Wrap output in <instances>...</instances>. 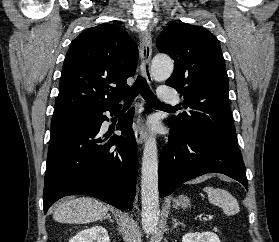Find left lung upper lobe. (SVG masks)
<instances>
[{"mask_svg":"<svg viewBox=\"0 0 279 242\" xmlns=\"http://www.w3.org/2000/svg\"><path fill=\"white\" fill-rule=\"evenodd\" d=\"M158 50L175 63L166 85L174 87L190 108L167 120L189 139L209 136L237 145L228 97V76L220 43L208 30L172 24L157 39Z\"/></svg>","mask_w":279,"mask_h":242,"instance_id":"5c2ea615","label":"left lung upper lobe"}]
</instances>
